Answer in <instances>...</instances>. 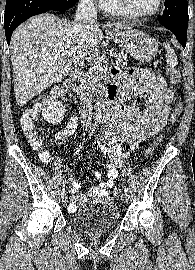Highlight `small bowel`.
<instances>
[{
  "label": "small bowel",
  "mask_w": 195,
  "mask_h": 270,
  "mask_svg": "<svg viewBox=\"0 0 195 270\" xmlns=\"http://www.w3.org/2000/svg\"><path fill=\"white\" fill-rule=\"evenodd\" d=\"M113 82L120 83L117 102L109 109L106 116V133L103 142L94 146V150L109 157L107 165V179L93 186L88 193L77 194L80 183L71 180V202L68 204L70 212L76 211L78 205L87 203L109 202L110 190L115 186L127 155L122 151L121 144L126 143L130 150H134L149 137L155 135L164 126L169 114L172 92L168 89L164 78L147 70L130 69L125 74L114 72ZM146 94L149 108L142 112L134 105H126L124 101L130 94ZM77 117L72 116L69 124L63 130L56 132L57 139L74 135ZM97 179L101 173L95 172Z\"/></svg>",
  "instance_id": "obj_1"
}]
</instances>
